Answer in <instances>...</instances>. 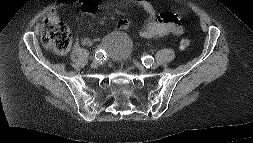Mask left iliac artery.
<instances>
[{
	"label": "left iliac artery",
	"instance_id": "44dca946",
	"mask_svg": "<svg viewBox=\"0 0 253 143\" xmlns=\"http://www.w3.org/2000/svg\"><path fill=\"white\" fill-rule=\"evenodd\" d=\"M142 60V64L147 67V68H150V66L152 65V63H154V58L152 56H143L141 58Z\"/></svg>",
	"mask_w": 253,
	"mask_h": 143
}]
</instances>
